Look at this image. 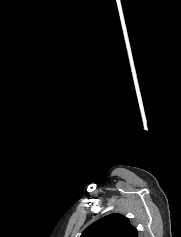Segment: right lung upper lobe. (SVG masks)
I'll list each match as a JSON object with an SVG mask.
<instances>
[{"label": "right lung upper lobe", "mask_w": 181, "mask_h": 237, "mask_svg": "<svg viewBox=\"0 0 181 237\" xmlns=\"http://www.w3.org/2000/svg\"><path fill=\"white\" fill-rule=\"evenodd\" d=\"M80 237H138L128 218L110 214L88 226Z\"/></svg>", "instance_id": "1"}]
</instances>
